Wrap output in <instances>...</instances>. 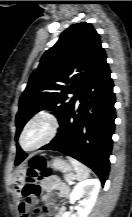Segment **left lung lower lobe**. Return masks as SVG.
Segmentation results:
<instances>
[{
    "mask_svg": "<svg viewBox=\"0 0 132 217\" xmlns=\"http://www.w3.org/2000/svg\"><path fill=\"white\" fill-rule=\"evenodd\" d=\"M110 73L105 61L78 93L76 100H80L81 104L77 114L73 105L59 121L57 136L41 148L60 151L79 160L98 175L102 184L109 173L116 118ZM17 148L16 165L26 158L21 148Z\"/></svg>",
    "mask_w": 132,
    "mask_h": 217,
    "instance_id": "1",
    "label": "left lung lower lobe"
}]
</instances>
